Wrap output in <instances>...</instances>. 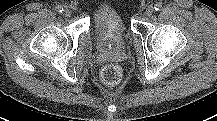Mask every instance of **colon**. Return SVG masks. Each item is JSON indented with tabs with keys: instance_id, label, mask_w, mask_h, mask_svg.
I'll return each mask as SVG.
<instances>
[{
	"instance_id": "obj_1",
	"label": "colon",
	"mask_w": 217,
	"mask_h": 121,
	"mask_svg": "<svg viewBox=\"0 0 217 121\" xmlns=\"http://www.w3.org/2000/svg\"><path fill=\"white\" fill-rule=\"evenodd\" d=\"M100 76H101V80L106 85H115L121 81L123 77V69L118 64H114V63L106 64L101 69Z\"/></svg>"
}]
</instances>
